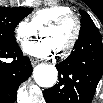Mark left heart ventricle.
Segmentation results:
<instances>
[{
    "label": "left heart ventricle",
    "instance_id": "b2bd125f",
    "mask_svg": "<svg viewBox=\"0 0 103 103\" xmlns=\"http://www.w3.org/2000/svg\"><path fill=\"white\" fill-rule=\"evenodd\" d=\"M74 28V22L69 21L60 27L47 28L42 30L41 36L43 38H49L58 51L68 44L74 33Z\"/></svg>",
    "mask_w": 103,
    "mask_h": 103
}]
</instances>
